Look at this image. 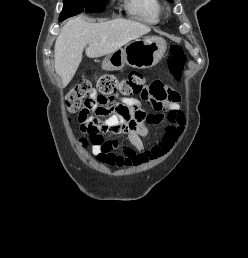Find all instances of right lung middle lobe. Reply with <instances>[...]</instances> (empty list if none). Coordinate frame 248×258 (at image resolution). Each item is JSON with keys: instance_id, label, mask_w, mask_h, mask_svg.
Returning <instances> with one entry per match:
<instances>
[{"instance_id": "right-lung-middle-lobe-1", "label": "right lung middle lobe", "mask_w": 248, "mask_h": 258, "mask_svg": "<svg viewBox=\"0 0 248 258\" xmlns=\"http://www.w3.org/2000/svg\"><path fill=\"white\" fill-rule=\"evenodd\" d=\"M107 0H64V8L60 14L59 21L82 13L83 11L103 12Z\"/></svg>"}]
</instances>
